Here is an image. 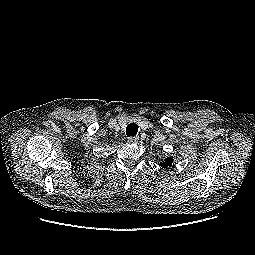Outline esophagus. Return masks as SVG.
Here are the masks:
<instances>
[{"mask_svg":"<svg viewBox=\"0 0 255 255\" xmlns=\"http://www.w3.org/2000/svg\"><path fill=\"white\" fill-rule=\"evenodd\" d=\"M138 139H139L138 136L129 137V138H128V142H129V143H137V142H138Z\"/></svg>","mask_w":255,"mask_h":255,"instance_id":"34e87169","label":"esophagus"}]
</instances>
